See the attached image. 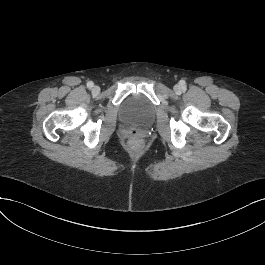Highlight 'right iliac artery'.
Here are the masks:
<instances>
[{"label":"right iliac artery","mask_w":265,"mask_h":265,"mask_svg":"<svg viewBox=\"0 0 265 265\" xmlns=\"http://www.w3.org/2000/svg\"><path fill=\"white\" fill-rule=\"evenodd\" d=\"M93 86H94V83H93L92 81H89V82L87 83V87H88L89 89H91Z\"/></svg>","instance_id":"1"}]
</instances>
